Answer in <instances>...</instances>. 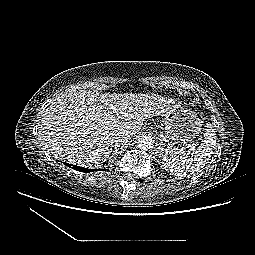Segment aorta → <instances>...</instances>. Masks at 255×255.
I'll return each mask as SVG.
<instances>
[{
  "label": "aorta",
  "instance_id": "1",
  "mask_svg": "<svg viewBox=\"0 0 255 255\" xmlns=\"http://www.w3.org/2000/svg\"><path fill=\"white\" fill-rule=\"evenodd\" d=\"M137 144L140 149L148 150L153 147V139L147 135L139 136L137 139Z\"/></svg>",
  "mask_w": 255,
  "mask_h": 255
}]
</instances>
